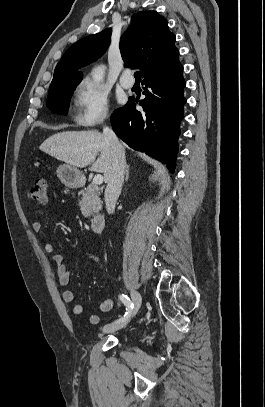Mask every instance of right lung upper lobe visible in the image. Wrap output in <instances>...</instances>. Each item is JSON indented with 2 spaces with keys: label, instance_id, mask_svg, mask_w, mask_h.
<instances>
[{
  "label": "right lung upper lobe",
  "instance_id": "obj_1",
  "mask_svg": "<svg viewBox=\"0 0 265 407\" xmlns=\"http://www.w3.org/2000/svg\"><path fill=\"white\" fill-rule=\"evenodd\" d=\"M111 29L87 36L74 43L57 64L51 85L60 82H81L77 72L97 60L110 44ZM175 35L168 21L156 11H141L132 17V24L121 38L120 50L125 65L138 68L143 76L178 52Z\"/></svg>",
  "mask_w": 265,
  "mask_h": 407
}]
</instances>
